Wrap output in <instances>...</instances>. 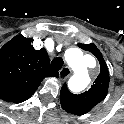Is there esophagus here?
<instances>
[{
	"label": "esophagus",
	"mask_w": 124,
	"mask_h": 124,
	"mask_svg": "<svg viewBox=\"0 0 124 124\" xmlns=\"http://www.w3.org/2000/svg\"><path fill=\"white\" fill-rule=\"evenodd\" d=\"M72 71L68 66L63 67L60 71H59V78L60 80H65L67 79L70 75H71Z\"/></svg>",
	"instance_id": "obj_1"
}]
</instances>
